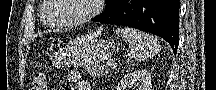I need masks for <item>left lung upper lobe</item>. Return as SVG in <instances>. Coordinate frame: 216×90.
<instances>
[{
  "label": "left lung upper lobe",
  "mask_w": 216,
  "mask_h": 90,
  "mask_svg": "<svg viewBox=\"0 0 216 90\" xmlns=\"http://www.w3.org/2000/svg\"><path fill=\"white\" fill-rule=\"evenodd\" d=\"M120 0H106V3L108 4V7L106 10L114 8Z\"/></svg>",
  "instance_id": "5c2ea615"
}]
</instances>
